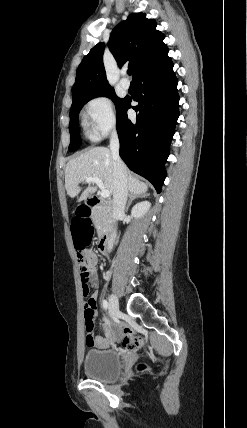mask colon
<instances>
[{
    "instance_id": "1",
    "label": "colon",
    "mask_w": 247,
    "mask_h": 428,
    "mask_svg": "<svg viewBox=\"0 0 247 428\" xmlns=\"http://www.w3.org/2000/svg\"><path fill=\"white\" fill-rule=\"evenodd\" d=\"M73 212H71L70 218L73 221L71 225V237L73 239L72 244L77 250V259L80 267V276L83 285V294L85 297L88 296L91 282L93 279V271L91 266L85 259L82 253L83 247H86L87 240L93 239L94 237V225L91 223V217L86 212L85 204H74ZM94 307L87 301L84 305V320H85V334L87 339H92L94 331ZM125 337L123 340V346L129 350H135L142 347L144 340L140 336H134L132 329L125 325L124 326Z\"/></svg>"
}]
</instances>
